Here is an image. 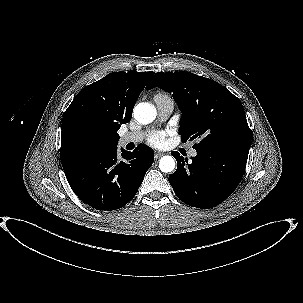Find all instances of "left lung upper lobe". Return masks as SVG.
Here are the masks:
<instances>
[{
  "label": "left lung upper lobe",
  "mask_w": 303,
  "mask_h": 303,
  "mask_svg": "<svg viewBox=\"0 0 303 303\" xmlns=\"http://www.w3.org/2000/svg\"><path fill=\"white\" fill-rule=\"evenodd\" d=\"M171 93L182 111L179 134L193 147L249 149L251 130L240 100L219 83L190 72H157L146 89Z\"/></svg>",
  "instance_id": "left-lung-upper-lobe-1"
}]
</instances>
